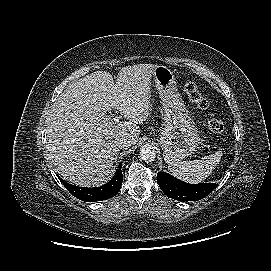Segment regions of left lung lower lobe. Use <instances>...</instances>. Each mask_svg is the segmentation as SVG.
<instances>
[{
    "label": "left lung lower lobe",
    "mask_w": 271,
    "mask_h": 271,
    "mask_svg": "<svg viewBox=\"0 0 271 271\" xmlns=\"http://www.w3.org/2000/svg\"><path fill=\"white\" fill-rule=\"evenodd\" d=\"M157 182L168 197L179 201L203 199L217 187L215 183L188 184L165 172L157 174Z\"/></svg>",
    "instance_id": "0a47b994"
}]
</instances>
